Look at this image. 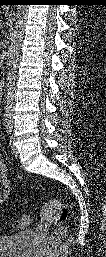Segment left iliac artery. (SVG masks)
<instances>
[{"label":"left iliac artery","instance_id":"44dca946","mask_svg":"<svg viewBox=\"0 0 106 257\" xmlns=\"http://www.w3.org/2000/svg\"><path fill=\"white\" fill-rule=\"evenodd\" d=\"M7 133L10 134V133H11V130H7Z\"/></svg>","mask_w":106,"mask_h":257}]
</instances>
